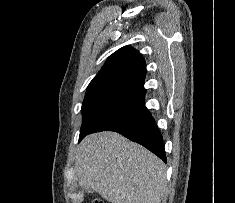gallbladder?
<instances>
[{
  "instance_id": "1",
  "label": "gallbladder",
  "mask_w": 235,
  "mask_h": 203,
  "mask_svg": "<svg viewBox=\"0 0 235 203\" xmlns=\"http://www.w3.org/2000/svg\"><path fill=\"white\" fill-rule=\"evenodd\" d=\"M83 190H85L86 192H93L91 188H83Z\"/></svg>"
}]
</instances>
